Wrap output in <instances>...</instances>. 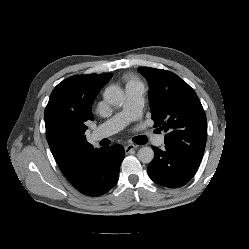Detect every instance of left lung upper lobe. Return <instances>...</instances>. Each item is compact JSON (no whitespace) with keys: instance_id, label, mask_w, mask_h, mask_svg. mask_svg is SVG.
Instances as JSON below:
<instances>
[{"instance_id":"5c2ea615","label":"left lung upper lobe","mask_w":249,"mask_h":249,"mask_svg":"<svg viewBox=\"0 0 249 249\" xmlns=\"http://www.w3.org/2000/svg\"><path fill=\"white\" fill-rule=\"evenodd\" d=\"M138 71L149 84L154 127L167 132L165 145L202 160L207 121L195 91L172 72L150 67H140Z\"/></svg>"}]
</instances>
